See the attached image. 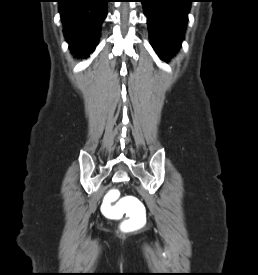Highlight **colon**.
<instances>
[{
	"label": "colon",
	"instance_id": "colon-1",
	"mask_svg": "<svg viewBox=\"0 0 258 275\" xmlns=\"http://www.w3.org/2000/svg\"><path fill=\"white\" fill-rule=\"evenodd\" d=\"M109 196L111 197L112 200H116L119 197V193L117 190H112L109 192Z\"/></svg>",
	"mask_w": 258,
	"mask_h": 275
}]
</instances>
